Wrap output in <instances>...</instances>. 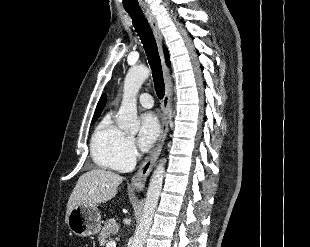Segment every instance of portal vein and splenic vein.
I'll use <instances>...</instances> for the list:
<instances>
[{
  "mask_svg": "<svg viewBox=\"0 0 310 247\" xmlns=\"http://www.w3.org/2000/svg\"><path fill=\"white\" fill-rule=\"evenodd\" d=\"M106 247H116V242H115V241H109V242L106 244Z\"/></svg>",
  "mask_w": 310,
  "mask_h": 247,
  "instance_id": "obj_1",
  "label": "portal vein and splenic vein"
}]
</instances>
